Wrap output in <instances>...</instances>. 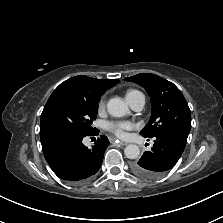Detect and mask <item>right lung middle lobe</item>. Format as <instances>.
I'll return each instance as SVG.
<instances>
[{
  "label": "right lung middle lobe",
  "instance_id": "obj_1",
  "mask_svg": "<svg viewBox=\"0 0 223 223\" xmlns=\"http://www.w3.org/2000/svg\"><path fill=\"white\" fill-rule=\"evenodd\" d=\"M99 98L75 92L50 96L40 118V136L56 132L90 134Z\"/></svg>",
  "mask_w": 223,
  "mask_h": 223
}]
</instances>
